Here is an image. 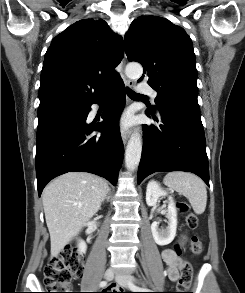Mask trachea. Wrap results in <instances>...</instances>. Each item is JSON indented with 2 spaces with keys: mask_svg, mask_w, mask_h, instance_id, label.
<instances>
[{
  "mask_svg": "<svg viewBox=\"0 0 245 293\" xmlns=\"http://www.w3.org/2000/svg\"><path fill=\"white\" fill-rule=\"evenodd\" d=\"M126 93H127V95H128L130 98L146 97V96H144V95H141V94L136 93L135 91H133V90L130 89V88H127V89H126Z\"/></svg>",
  "mask_w": 245,
  "mask_h": 293,
  "instance_id": "3493384b",
  "label": "trachea"
}]
</instances>
